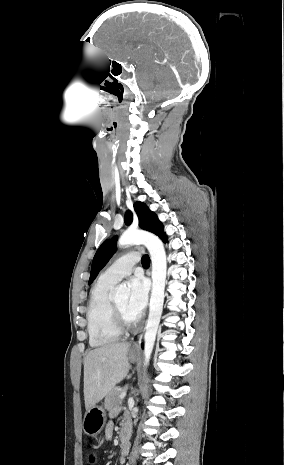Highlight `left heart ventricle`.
Here are the masks:
<instances>
[{
    "label": "left heart ventricle",
    "mask_w": 284,
    "mask_h": 465,
    "mask_svg": "<svg viewBox=\"0 0 284 465\" xmlns=\"http://www.w3.org/2000/svg\"><path fill=\"white\" fill-rule=\"evenodd\" d=\"M115 303L118 306L121 313L123 314V316L129 320L126 322L131 323L135 319V317L131 315V313L128 310V299L120 298L119 300L115 301Z\"/></svg>",
    "instance_id": "left-heart-ventricle-1"
}]
</instances>
